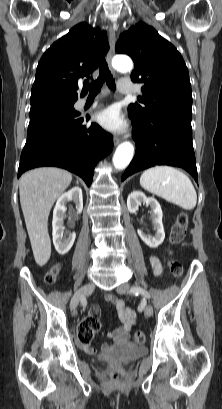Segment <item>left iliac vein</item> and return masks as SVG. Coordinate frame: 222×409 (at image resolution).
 Masks as SVG:
<instances>
[{"mask_svg":"<svg viewBox=\"0 0 222 409\" xmlns=\"http://www.w3.org/2000/svg\"><path fill=\"white\" fill-rule=\"evenodd\" d=\"M130 285L128 283H122L117 287V292L119 294H127L129 291ZM145 314L151 316L153 314V307L150 304H145Z\"/></svg>","mask_w":222,"mask_h":409,"instance_id":"4c4485c4","label":"left iliac vein"}]
</instances>
